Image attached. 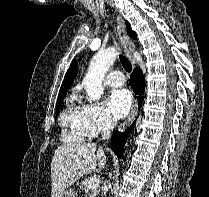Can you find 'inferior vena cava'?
<instances>
[{"label":"inferior vena cava","instance_id":"1","mask_svg":"<svg viewBox=\"0 0 209 197\" xmlns=\"http://www.w3.org/2000/svg\"><path fill=\"white\" fill-rule=\"evenodd\" d=\"M117 120L110 115H107L105 118V123L103 126L102 139H108L111 136V132L116 126ZM106 192H104L105 194Z\"/></svg>","mask_w":209,"mask_h":197}]
</instances>
